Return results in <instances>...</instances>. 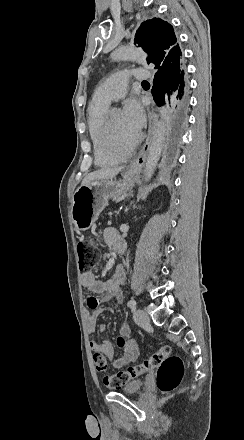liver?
<instances>
[{"instance_id": "obj_1", "label": "liver", "mask_w": 244, "mask_h": 440, "mask_svg": "<svg viewBox=\"0 0 244 440\" xmlns=\"http://www.w3.org/2000/svg\"><path fill=\"white\" fill-rule=\"evenodd\" d=\"M123 168H101L97 172H91L88 176H85L81 186H88L93 180H112L119 172H122Z\"/></svg>"}]
</instances>
